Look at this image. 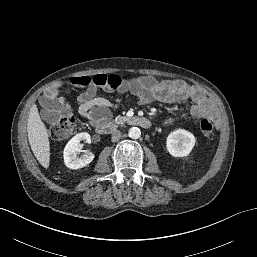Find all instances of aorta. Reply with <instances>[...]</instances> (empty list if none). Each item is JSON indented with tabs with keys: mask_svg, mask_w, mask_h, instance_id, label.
I'll list each match as a JSON object with an SVG mask.
<instances>
[{
	"mask_svg": "<svg viewBox=\"0 0 257 257\" xmlns=\"http://www.w3.org/2000/svg\"><path fill=\"white\" fill-rule=\"evenodd\" d=\"M128 136L132 139H138L141 136V131L138 127H131L128 130Z\"/></svg>",
	"mask_w": 257,
	"mask_h": 257,
	"instance_id": "762f6f07",
	"label": "aorta"
}]
</instances>
